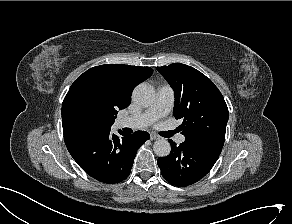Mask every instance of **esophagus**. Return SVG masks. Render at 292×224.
Wrapping results in <instances>:
<instances>
[{
  "label": "esophagus",
  "mask_w": 292,
  "mask_h": 224,
  "mask_svg": "<svg viewBox=\"0 0 292 224\" xmlns=\"http://www.w3.org/2000/svg\"><path fill=\"white\" fill-rule=\"evenodd\" d=\"M161 137L159 136V135H157V134H155V133H151L150 134V139L151 140H158V139H160Z\"/></svg>",
  "instance_id": "34e87169"
}]
</instances>
